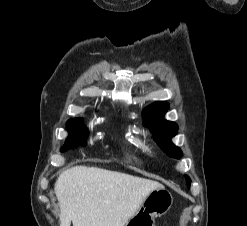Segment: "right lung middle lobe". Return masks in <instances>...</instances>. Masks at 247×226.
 <instances>
[{
  "instance_id": "1",
  "label": "right lung middle lobe",
  "mask_w": 247,
  "mask_h": 226,
  "mask_svg": "<svg viewBox=\"0 0 247 226\" xmlns=\"http://www.w3.org/2000/svg\"><path fill=\"white\" fill-rule=\"evenodd\" d=\"M67 129L69 131V136L65 145L61 148V151H66L69 148H76L79 145H86V137L88 131L83 125L81 119H70L67 122Z\"/></svg>"
}]
</instances>
